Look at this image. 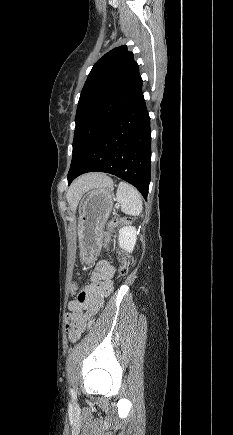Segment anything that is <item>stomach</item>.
I'll use <instances>...</instances> for the list:
<instances>
[{"label": "stomach", "instance_id": "1", "mask_svg": "<svg viewBox=\"0 0 233 435\" xmlns=\"http://www.w3.org/2000/svg\"><path fill=\"white\" fill-rule=\"evenodd\" d=\"M113 182L86 191L80 198L77 235L82 262H93L101 248L103 227L113 207Z\"/></svg>", "mask_w": 233, "mask_h": 435}]
</instances>
